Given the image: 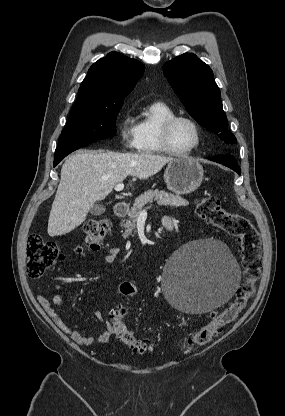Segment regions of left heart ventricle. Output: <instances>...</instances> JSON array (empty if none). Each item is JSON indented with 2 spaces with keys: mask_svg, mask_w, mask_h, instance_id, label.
<instances>
[{
  "mask_svg": "<svg viewBox=\"0 0 285 416\" xmlns=\"http://www.w3.org/2000/svg\"><path fill=\"white\" fill-rule=\"evenodd\" d=\"M170 139L175 149L185 151L196 144V132L188 121L178 120L172 127Z\"/></svg>",
  "mask_w": 285,
  "mask_h": 416,
  "instance_id": "obj_1",
  "label": "left heart ventricle"
}]
</instances>
